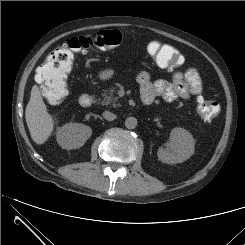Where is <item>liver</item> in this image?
<instances>
[{"label": "liver", "instance_id": "liver-1", "mask_svg": "<svg viewBox=\"0 0 245 245\" xmlns=\"http://www.w3.org/2000/svg\"><path fill=\"white\" fill-rule=\"evenodd\" d=\"M25 119L33 141L39 145L45 143L53 131L54 121L47 111V106L37 85L31 89Z\"/></svg>", "mask_w": 245, "mask_h": 245}]
</instances>
